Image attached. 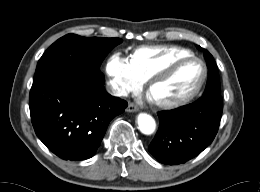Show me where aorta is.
Instances as JSON below:
<instances>
[{"label": "aorta", "mask_w": 260, "mask_h": 192, "mask_svg": "<svg viewBox=\"0 0 260 192\" xmlns=\"http://www.w3.org/2000/svg\"><path fill=\"white\" fill-rule=\"evenodd\" d=\"M138 128L141 133L151 135L156 129V122L154 118L147 113H140L137 117Z\"/></svg>", "instance_id": "762f6f07"}]
</instances>
